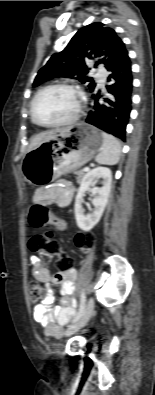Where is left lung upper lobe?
<instances>
[{"mask_svg":"<svg viewBox=\"0 0 155 395\" xmlns=\"http://www.w3.org/2000/svg\"><path fill=\"white\" fill-rule=\"evenodd\" d=\"M127 55L125 44L116 32L101 22H95L79 29L63 51L52 55L39 70L33 86L51 78L69 77L82 83L91 82L89 89L94 92L96 84L86 76L90 70L87 60L98 59L96 65L102 63L109 70Z\"/></svg>","mask_w":155,"mask_h":395,"instance_id":"left-lung-upper-lobe-1","label":"left lung upper lobe"}]
</instances>
